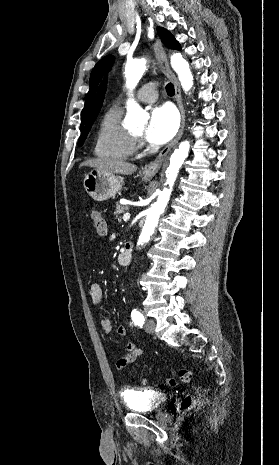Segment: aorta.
<instances>
[{
	"mask_svg": "<svg viewBox=\"0 0 279 465\" xmlns=\"http://www.w3.org/2000/svg\"><path fill=\"white\" fill-rule=\"evenodd\" d=\"M171 66L178 75V79L185 92H188L193 86V75L191 73L188 62L176 53L171 57ZM146 70L145 59H136L128 62L125 66L126 86L132 91ZM127 117L134 126H143L147 121L148 115L141 109L138 103L134 100H129L127 103ZM190 144L188 141H183L179 147L174 150L170 157V165L166 170L168 188H164L159 192L157 201L148 209L146 221L140 234L138 245H142L150 240L154 233L155 227L158 224L160 215L164 212L171 192L176 180L179 169L184 160L188 157Z\"/></svg>",
	"mask_w": 279,
	"mask_h": 465,
	"instance_id": "762f6f07",
	"label": "aorta"
}]
</instances>
